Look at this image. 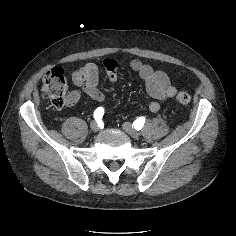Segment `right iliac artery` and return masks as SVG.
<instances>
[{
	"label": "right iliac artery",
	"mask_w": 236,
	"mask_h": 236,
	"mask_svg": "<svg viewBox=\"0 0 236 236\" xmlns=\"http://www.w3.org/2000/svg\"><path fill=\"white\" fill-rule=\"evenodd\" d=\"M104 115V109L102 107H99L94 112V118L95 120H100Z\"/></svg>",
	"instance_id": "1"
}]
</instances>
